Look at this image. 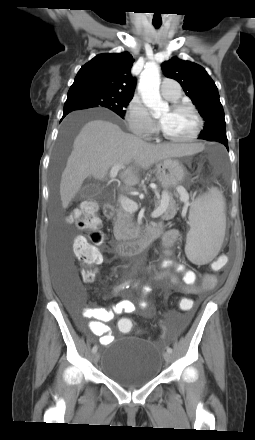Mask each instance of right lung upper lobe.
I'll return each mask as SVG.
<instances>
[{
  "instance_id": "obj_1",
  "label": "right lung upper lobe",
  "mask_w": 255,
  "mask_h": 440,
  "mask_svg": "<svg viewBox=\"0 0 255 440\" xmlns=\"http://www.w3.org/2000/svg\"><path fill=\"white\" fill-rule=\"evenodd\" d=\"M133 62L128 52L99 54L81 67L68 94L104 92L133 97L136 84L130 73Z\"/></svg>"
}]
</instances>
